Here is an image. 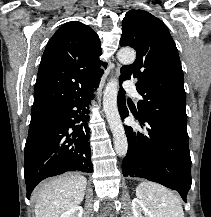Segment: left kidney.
<instances>
[{"label": "left kidney", "mask_w": 211, "mask_h": 217, "mask_svg": "<svg viewBox=\"0 0 211 217\" xmlns=\"http://www.w3.org/2000/svg\"><path fill=\"white\" fill-rule=\"evenodd\" d=\"M131 206L134 217H154L147 209V207L143 204V202L138 198H134L132 200Z\"/></svg>", "instance_id": "left-kidney-1"}]
</instances>
